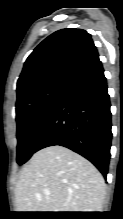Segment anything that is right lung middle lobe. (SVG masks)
Wrapping results in <instances>:
<instances>
[{
    "label": "right lung middle lobe",
    "mask_w": 123,
    "mask_h": 219,
    "mask_svg": "<svg viewBox=\"0 0 123 219\" xmlns=\"http://www.w3.org/2000/svg\"><path fill=\"white\" fill-rule=\"evenodd\" d=\"M67 82H53L33 89L16 102L17 163L24 164L36 152V143Z\"/></svg>",
    "instance_id": "obj_1"
}]
</instances>
